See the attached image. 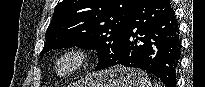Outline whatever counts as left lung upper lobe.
<instances>
[{"label":"left lung upper lobe","instance_id":"1","mask_svg":"<svg viewBox=\"0 0 205 87\" xmlns=\"http://www.w3.org/2000/svg\"><path fill=\"white\" fill-rule=\"evenodd\" d=\"M138 0H63L54 11L41 54L63 47L96 49L104 66L115 57Z\"/></svg>","mask_w":205,"mask_h":87}]
</instances>
